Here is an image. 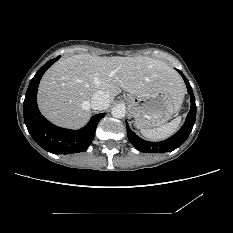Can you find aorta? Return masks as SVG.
<instances>
[{
	"label": "aorta",
	"mask_w": 233,
	"mask_h": 233,
	"mask_svg": "<svg viewBox=\"0 0 233 233\" xmlns=\"http://www.w3.org/2000/svg\"><path fill=\"white\" fill-rule=\"evenodd\" d=\"M111 114L115 118H123L126 114V108L123 105H116L112 108Z\"/></svg>",
	"instance_id": "aorta-1"
}]
</instances>
